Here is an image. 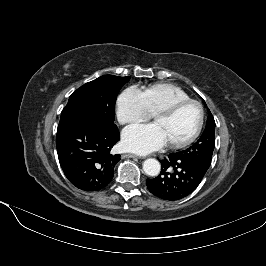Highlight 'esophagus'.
<instances>
[{"label": "esophagus", "mask_w": 266, "mask_h": 266, "mask_svg": "<svg viewBox=\"0 0 266 266\" xmlns=\"http://www.w3.org/2000/svg\"><path fill=\"white\" fill-rule=\"evenodd\" d=\"M125 156L129 157V158H144L142 156H138V155H135V154H126Z\"/></svg>", "instance_id": "34e87169"}]
</instances>
